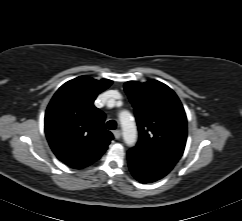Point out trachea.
Segmentation results:
<instances>
[{
    "label": "trachea",
    "instance_id": "obj_1",
    "mask_svg": "<svg viewBox=\"0 0 242 221\" xmlns=\"http://www.w3.org/2000/svg\"><path fill=\"white\" fill-rule=\"evenodd\" d=\"M117 127V123L114 120H110L106 124V128L109 130H115Z\"/></svg>",
    "mask_w": 242,
    "mask_h": 221
}]
</instances>
